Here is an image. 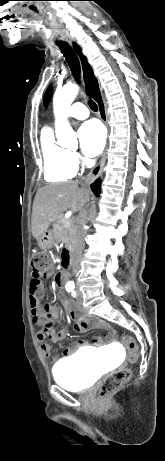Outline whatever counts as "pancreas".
Segmentation results:
<instances>
[{
	"label": "pancreas",
	"instance_id": "pancreas-1",
	"mask_svg": "<svg viewBox=\"0 0 165 461\" xmlns=\"http://www.w3.org/2000/svg\"><path fill=\"white\" fill-rule=\"evenodd\" d=\"M53 234L57 241L65 243L67 246H71L73 239V227L70 223L64 219L63 216H59L54 220Z\"/></svg>",
	"mask_w": 165,
	"mask_h": 461
}]
</instances>
